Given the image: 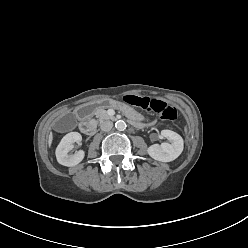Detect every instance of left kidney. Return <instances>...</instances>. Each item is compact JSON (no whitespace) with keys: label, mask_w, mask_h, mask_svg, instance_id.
Returning <instances> with one entry per match:
<instances>
[{"label":"left kidney","mask_w":248,"mask_h":248,"mask_svg":"<svg viewBox=\"0 0 248 248\" xmlns=\"http://www.w3.org/2000/svg\"><path fill=\"white\" fill-rule=\"evenodd\" d=\"M161 135L171 143L154 144L148 148V154L155 160L170 162L175 160L182 153L184 141L182 137L174 131L162 130Z\"/></svg>","instance_id":"5707ae66"}]
</instances>
